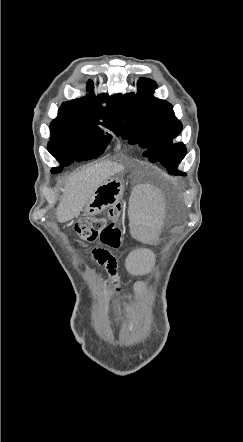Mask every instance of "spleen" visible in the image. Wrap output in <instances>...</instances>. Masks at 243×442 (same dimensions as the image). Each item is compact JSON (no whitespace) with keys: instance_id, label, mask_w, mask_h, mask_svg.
Returning <instances> with one entry per match:
<instances>
[{"instance_id":"3e777b00","label":"spleen","mask_w":243,"mask_h":442,"mask_svg":"<svg viewBox=\"0 0 243 442\" xmlns=\"http://www.w3.org/2000/svg\"><path fill=\"white\" fill-rule=\"evenodd\" d=\"M126 202L129 205L132 235L137 242H155V231H159L161 223L162 194L155 193L154 183H137L133 193H126ZM157 261L156 254H139L134 259L133 266L138 274H151ZM137 296H146V287H137Z\"/></svg>"}]
</instances>
